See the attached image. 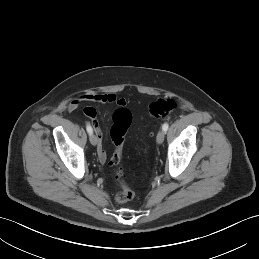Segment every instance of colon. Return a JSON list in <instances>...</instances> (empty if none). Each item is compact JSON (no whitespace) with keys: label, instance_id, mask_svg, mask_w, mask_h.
<instances>
[{"label":"colon","instance_id":"obj_1","mask_svg":"<svg viewBox=\"0 0 259 259\" xmlns=\"http://www.w3.org/2000/svg\"><path fill=\"white\" fill-rule=\"evenodd\" d=\"M176 109V102L173 99H158L149 105V114L155 119H165ZM132 123V114L127 108H118L111 118L110 136L114 144V152L110 164L114 167V178L121 189L116 194V201L124 203L134 197L133 189L125 182L121 170V154L125 136Z\"/></svg>","mask_w":259,"mask_h":259}]
</instances>
